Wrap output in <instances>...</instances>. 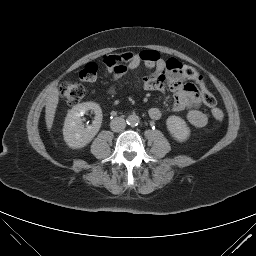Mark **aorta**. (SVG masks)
Listing matches in <instances>:
<instances>
[{"label":"aorta","mask_w":256,"mask_h":256,"mask_svg":"<svg viewBox=\"0 0 256 256\" xmlns=\"http://www.w3.org/2000/svg\"><path fill=\"white\" fill-rule=\"evenodd\" d=\"M126 122L130 126H137L140 122V119L137 115L133 114L127 117Z\"/></svg>","instance_id":"762f6f07"}]
</instances>
